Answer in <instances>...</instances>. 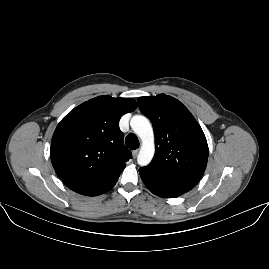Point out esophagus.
Segmentation results:
<instances>
[{
    "mask_svg": "<svg viewBox=\"0 0 269 269\" xmlns=\"http://www.w3.org/2000/svg\"><path fill=\"white\" fill-rule=\"evenodd\" d=\"M138 152H139L138 150H134V151H132V155H133V158H134V159L137 157Z\"/></svg>",
    "mask_w": 269,
    "mask_h": 269,
    "instance_id": "obj_1",
    "label": "esophagus"
}]
</instances>
